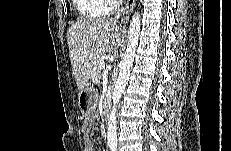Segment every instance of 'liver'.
<instances>
[{
  "label": "liver",
  "mask_w": 231,
  "mask_h": 151,
  "mask_svg": "<svg viewBox=\"0 0 231 151\" xmlns=\"http://www.w3.org/2000/svg\"><path fill=\"white\" fill-rule=\"evenodd\" d=\"M122 29L109 18L85 19L67 31V43L78 90H82L105 53L115 54L120 46Z\"/></svg>",
  "instance_id": "liver-1"
}]
</instances>
